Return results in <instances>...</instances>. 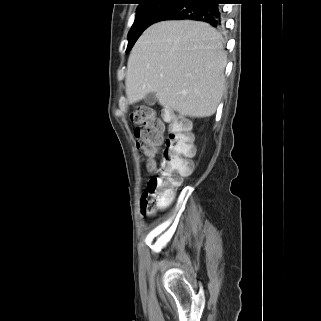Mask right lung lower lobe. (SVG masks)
Instances as JSON below:
<instances>
[{"label":"right lung lower lobe","mask_w":321,"mask_h":321,"mask_svg":"<svg viewBox=\"0 0 321 321\" xmlns=\"http://www.w3.org/2000/svg\"><path fill=\"white\" fill-rule=\"evenodd\" d=\"M222 0H184L167 10L159 21L190 19L203 21L218 28L222 26ZM158 21V22H159Z\"/></svg>","instance_id":"right-lung-lower-lobe-1"}]
</instances>
